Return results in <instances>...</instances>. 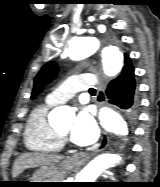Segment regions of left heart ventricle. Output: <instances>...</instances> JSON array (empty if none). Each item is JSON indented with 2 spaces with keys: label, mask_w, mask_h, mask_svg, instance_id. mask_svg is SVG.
I'll return each instance as SVG.
<instances>
[{
  "label": "left heart ventricle",
  "mask_w": 160,
  "mask_h": 187,
  "mask_svg": "<svg viewBox=\"0 0 160 187\" xmlns=\"http://www.w3.org/2000/svg\"><path fill=\"white\" fill-rule=\"evenodd\" d=\"M71 127H72V124L69 123V124H66V125H63L59 131L64 134V135H68L70 130H71Z\"/></svg>",
  "instance_id": "b2bd125f"
}]
</instances>
